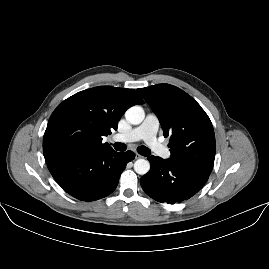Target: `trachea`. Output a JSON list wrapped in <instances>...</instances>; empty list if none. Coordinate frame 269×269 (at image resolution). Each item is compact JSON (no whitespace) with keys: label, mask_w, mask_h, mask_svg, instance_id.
<instances>
[{"label":"trachea","mask_w":269,"mask_h":269,"mask_svg":"<svg viewBox=\"0 0 269 269\" xmlns=\"http://www.w3.org/2000/svg\"><path fill=\"white\" fill-rule=\"evenodd\" d=\"M114 149L117 150V151H125L126 150V145L124 143H119V142H116L114 144H112ZM137 151L139 154H141L142 156H148L150 154V150L145 147V146H139L137 148Z\"/></svg>","instance_id":"1"}]
</instances>
